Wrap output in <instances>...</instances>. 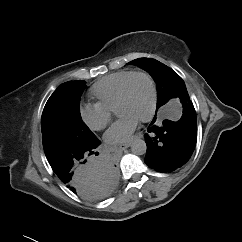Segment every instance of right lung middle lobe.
Instances as JSON below:
<instances>
[{
	"mask_svg": "<svg viewBox=\"0 0 242 242\" xmlns=\"http://www.w3.org/2000/svg\"><path fill=\"white\" fill-rule=\"evenodd\" d=\"M84 81L59 86L48 99L41 118L43 147L48 161L54 157L91 147L97 138L82 121L80 97Z\"/></svg>",
	"mask_w": 242,
	"mask_h": 242,
	"instance_id": "obj_1",
	"label": "right lung middle lobe"
}]
</instances>
